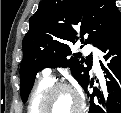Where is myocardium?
I'll use <instances>...</instances> for the list:
<instances>
[{"label":"myocardium","instance_id":"myocardium-1","mask_svg":"<svg viewBox=\"0 0 121 113\" xmlns=\"http://www.w3.org/2000/svg\"><path fill=\"white\" fill-rule=\"evenodd\" d=\"M58 91H69L74 95V97L76 98L77 104L75 108L71 110L73 111V113H76V111L84 109V99L80 91L74 85L66 82L51 83L44 90L40 101V109H49L48 107H44V106L49 104L50 99Z\"/></svg>","mask_w":121,"mask_h":113}]
</instances>
